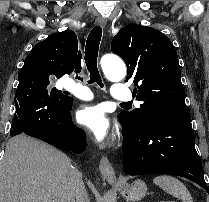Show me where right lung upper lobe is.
Masks as SVG:
<instances>
[{
    "instance_id": "cb5924a9",
    "label": "right lung upper lobe",
    "mask_w": 209,
    "mask_h": 202,
    "mask_svg": "<svg viewBox=\"0 0 209 202\" xmlns=\"http://www.w3.org/2000/svg\"><path fill=\"white\" fill-rule=\"evenodd\" d=\"M81 70V52L72 30L54 33L37 43L20 69L18 76L55 75L57 78Z\"/></svg>"
}]
</instances>
